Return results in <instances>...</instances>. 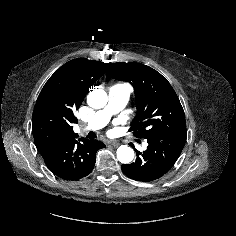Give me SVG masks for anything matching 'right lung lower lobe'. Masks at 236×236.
<instances>
[{"instance_id":"98d812e1","label":"right lung lower lobe","mask_w":236,"mask_h":236,"mask_svg":"<svg viewBox=\"0 0 236 236\" xmlns=\"http://www.w3.org/2000/svg\"><path fill=\"white\" fill-rule=\"evenodd\" d=\"M47 168L58 178L75 181L86 177L95 165L101 141L80 138L69 142H44L36 145Z\"/></svg>"}]
</instances>
